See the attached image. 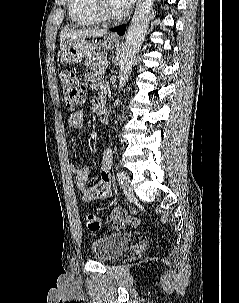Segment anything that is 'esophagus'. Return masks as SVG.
Segmentation results:
<instances>
[{"label":"esophagus","mask_w":239,"mask_h":303,"mask_svg":"<svg viewBox=\"0 0 239 303\" xmlns=\"http://www.w3.org/2000/svg\"><path fill=\"white\" fill-rule=\"evenodd\" d=\"M113 38L116 39V40L120 39V37H118V36H113Z\"/></svg>","instance_id":"34e87169"}]
</instances>
